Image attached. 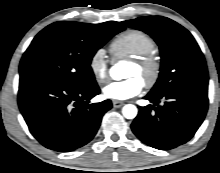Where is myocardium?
I'll return each instance as SVG.
<instances>
[{
  "mask_svg": "<svg viewBox=\"0 0 220 173\" xmlns=\"http://www.w3.org/2000/svg\"><path fill=\"white\" fill-rule=\"evenodd\" d=\"M131 63L140 69L145 86L153 87L157 83L161 72V63L153 52L132 58Z\"/></svg>",
  "mask_w": 220,
  "mask_h": 173,
  "instance_id": "1",
  "label": "myocardium"
}]
</instances>
